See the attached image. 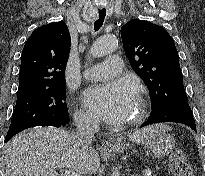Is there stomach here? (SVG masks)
Segmentation results:
<instances>
[{"label":"stomach","instance_id":"obj_1","mask_svg":"<svg viewBox=\"0 0 205 176\" xmlns=\"http://www.w3.org/2000/svg\"><path fill=\"white\" fill-rule=\"evenodd\" d=\"M154 129L151 135L145 139L141 144L149 148L155 157H164L169 154L175 147V138L167 133L164 125L153 126ZM129 148V144L122 143L117 140L111 148L112 152L122 153Z\"/></svg>","mask_w":205,"mask_h":176}]
</instances>
